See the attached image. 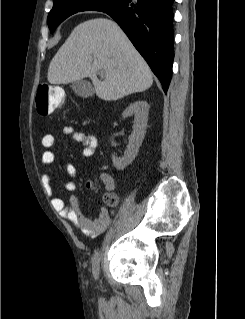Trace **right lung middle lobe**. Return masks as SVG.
Listing matches in <instances>:
<instances>
[{"mask_svg":"<svg viewBox=\"0 0 245 319\" xmlns=\"http://www.w3.org/2000/svg\"><path fill=\"white\" fill-rule=\"evenodd\" d=\"M123 0H54L47 23L50 32L70 15L81 11H108L117 8Z\"/></svg>","mask_w":245,"mask_h":319,"instance_id":"1","label":"right lung middle lobe"}]
</instances>
